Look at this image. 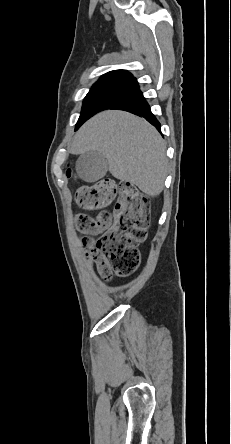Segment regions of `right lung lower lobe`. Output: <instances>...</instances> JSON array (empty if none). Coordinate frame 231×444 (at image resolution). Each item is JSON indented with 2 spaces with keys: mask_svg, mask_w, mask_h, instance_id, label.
I'll return each instance as SVG.
<instances>
[{
  "mask_svg": "<svg viewBox=\"0 0 231 444\" xmlns=\"http://www.w3.org/2000/svg\"><path fill=\"white\" fill-rule=\"evenodd\" d=\"M108 109L125 110L135 115L142 116L152 125H154L158 130H160V123L151 113L150 107L147 101L144 99L140 89L128 93L126 96L121 98L118 102H116Z\"/></svg>",
  "mask_w": 231,
  "mask_h": 444,
  "instance_id": "right-lung-lower-lobe-1",
  "label": "right lung lower lobe"
}]
</instances>
